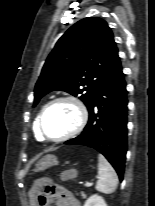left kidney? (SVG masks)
Here are the masks:
<instances>
[{"instance_id":"1","label":"left kidney","mask_w":155,"mask_h":206,"mask_svg":"<svg viewBox=\"0 0 155 206\" xmlns=\"http://www.w3.org/2000/svg\"><path fill=\"white\" fill-rule=\"evenodd\" d=\"M84 206H108V205L106 204L105 200L101 196L95 194L90 196L86 200Z\"/></svg>"}]
</instances>
